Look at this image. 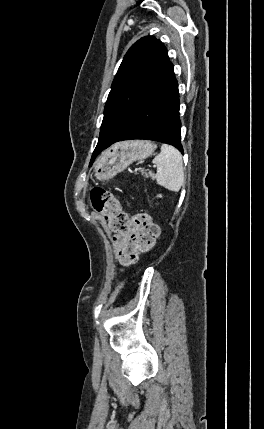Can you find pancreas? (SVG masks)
<instances>
[{
	"label": "pancreas",
	"instance_id": "cf45deb5",
	"mask_svg": "<svg viewBox=\"0 0 264 429\" xmlns=\"http://www.w3.org/2000/svg\"><path fill=\"white\" fill-rule=\"evenodd\" d=\"M141 173L146 178H148V177L154 178V174L152 172L146 173L144 169H141Z\"/></svg>",
	"mask_w": 264,
	"mask_h": 429
}]
</instances>
